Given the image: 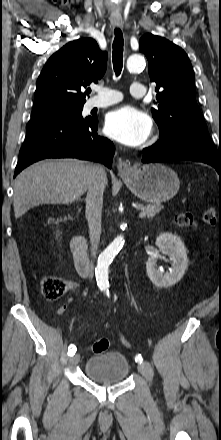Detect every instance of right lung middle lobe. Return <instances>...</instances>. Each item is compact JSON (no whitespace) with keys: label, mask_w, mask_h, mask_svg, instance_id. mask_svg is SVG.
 <instances>
[{"label":"right lung middle lobe","mask_w":221,"mask_h":440,"mask_svg":"<svg viewBox=\"0 0 221 440\" xmlns=\"http://www.w3.org/2000/svg\"><path fill=\"white\" fill-rule=\"evenodd\" d=\"M83 106H71V107H51V108H43L32 111L31 119L44 117V116H66L69 118H78L83 119L81 116Z\"/></svg>","instance_id":"1"}]
</instances>
